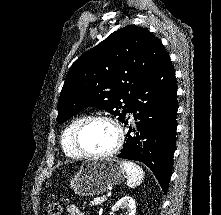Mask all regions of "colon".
I'll return each mask as SVG.
<instances>
[{"instance_id": "5ec220e1", "label": "colon", "mask_w": 221, "mask_h": 215, "mask_svg": "<svg viewBox=\"0 0 221 215\" xmlns=\"http://www.w3.org/2000/svg\"><path fill=\"white\" fill-rule=\"evenodd\" d=\"M48 215H62V207L58 203H50L47 207Z\"/></svg>"}]
</instances>
